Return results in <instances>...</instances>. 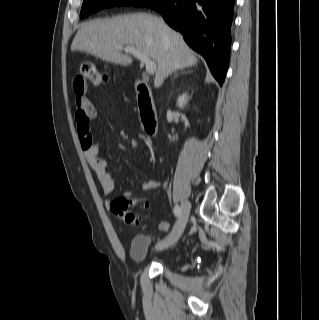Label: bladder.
<instances>
[{"label":"bladder","mask_w":319,"mask_h":320,"mask_svg":"<svg viewBox=\"0 0 319 320\" xmlns=\"http://www.w3.org/2000/svg\"><path fill=\"white\" fill-rule=\"evenodd\" d=\"M151 245V238L145 234H137L132 237L130 243L129 254L131 258L138 263H143L149 258V249ZM177 257H172V261Z\"/></svg>","instance_id":"1"}]
</instances>
